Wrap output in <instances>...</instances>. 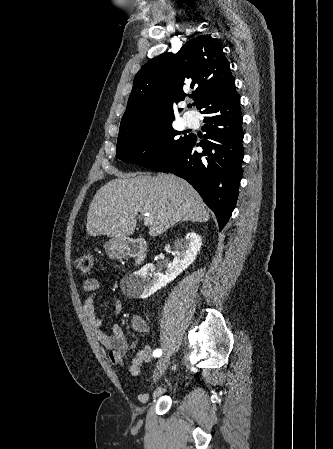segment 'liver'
Masks as SVG:
<instances>
[{
    "label": "liver",
    "mask_w": 333,
    "mask_h": 449,
    "mask_svg": "<svg viewBox=\"0 0 333 449\" xmlns=\"http://www.w3.org/2000/svg\"><path fill=\"white\" fill-rule=\"evenodd\" d=\"M117 176L97 191L89 206L86 229L90 236L124 240L133 234L139 213L153 217L149 229L153 237L180 221L202 223L210 218L200 195L181 178L171 174Z\"/></svg>",
    "instance_id": "1"
}]
</instances>
